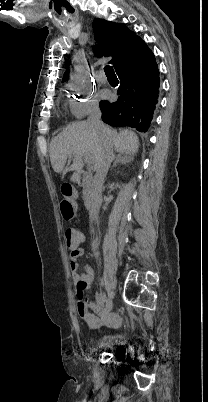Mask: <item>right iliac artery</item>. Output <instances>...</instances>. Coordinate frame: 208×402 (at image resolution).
<instances>
[{"label":"right iliac artery","mask_w":208,"mask_h":402,"mask_svg":"<svg viewBox=\"0 0 208 402\" xmlns=\"http://www.w3.org/2000/svg\"><path fill=\"white\" fill-rule=\"evenodd\" d=\"M108 300H109V299H108L107 295L104 294V296H103V302H104V304L107 305Z\"/></svg>","instance_id":"82829eb1"}]
</instances>
